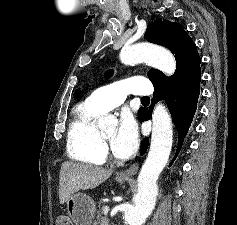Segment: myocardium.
<instances>
[{"instance_id":"f54148a6","label":"myocardium","mask_w":237,"mask_h":225,"mask_svg":"<svg viewBox=\"0 0 237 225\" xmlns=\"http://www.w3.org/2000/svg\"><path fill=\"white\" fill-rule=\"evenodd\" d=\"M100 138H101V142H102V145H103L105 158L107 157L111 160H117L118 158L116 157V155L112 152V150L110 148V143L105 138V136L102 132H100Z\"/></svg>"}]
</instances>
